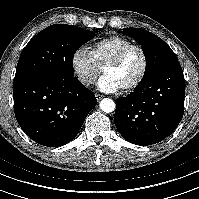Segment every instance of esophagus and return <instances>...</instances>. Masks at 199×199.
<instances>
[{
  "label": "esophagus",
  "instance_id": "1",
  "mask_svg": "<svg viewBox=\"0 0 199 199\" xmlns=\"http://www.w3.org/2000/svg\"><path fill=\"white\" fill-rule=\"evenodd\" d=\"M95 97L97 101H100L104 96L96 93Z\"/></svg>",
  "mask_w": 199,
  "mask_h": 199
}]
</instances>
